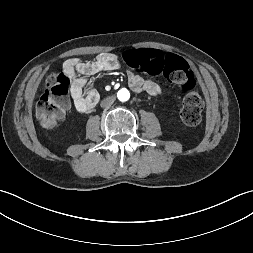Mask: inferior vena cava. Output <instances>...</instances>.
I'll return each mask as SVG.
<instances>
[{
	"label": "inferior vena cava",
	"instance_id": "1",
	"mask_svg": "<svg viewBox=\"0 0 253 253\" xmlns=\"http://www.w3.org/2000/svg\"><path fill=\"white\" fill-rule=\"evenodd\" d=\"M114 101H115L114 97H107L106 99L101 101L100 106L103 107V108L104 107H109L114 103Z\"/></svg>",
	"mask_w": 253,
	"mask_h": 253
}]
</instances>
